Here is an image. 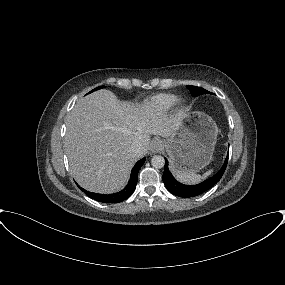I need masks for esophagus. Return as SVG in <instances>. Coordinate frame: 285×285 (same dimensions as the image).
<instances>
[{"instance_id": "obj_1", "label": "esophagus", "mask_w": 285, "mask_h": 285, "mask_svg": "<svg viewBox=\"0 0 285 285\" xmlns=\"http://www.w3.org/2000/svg\"><path fill=\"white\" fill-rule=\"evenodd\" d=\"M163 147H164V144L160 139H154L151 142L150 151L152 153H158L163 149Z\"/></svg>"}]
</instances>
